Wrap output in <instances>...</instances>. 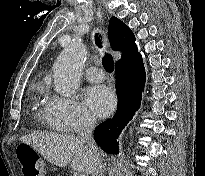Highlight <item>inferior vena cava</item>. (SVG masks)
<instances>
[{"label":"inferior vena cava","mask_w":205,"mask_h":176,"mask_svg":"<svg viewBox=\"0 0 205 176\" xmlns=\"http://www.w3.org/2000/svg\"><path fill=\"white\" fill-rule=\"evenodd\" d=\"M94 127L95 120L88 116H84L78 129L77 139L80 143L85 144L89 151L94 155L91 176H103L101 157L93 138Z\"/></svg>","instance_id":"inferior-vena-cava-1"}]
</instances>
